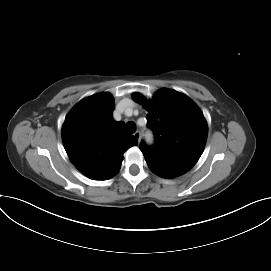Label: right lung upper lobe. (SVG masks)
<instances>
[{
    "label": "right lung upper lobe",
    "mask_w": 271,
    "mask_h": 271,
    "mask_svg": "<svg viewBox=\"0 0 271 271\" xmlns=\"http://www.w3.org/2000/svg\"><path fill=\"white\" fill-rule=\"evenodd\" d=\"M112 110L109 93L87 97L73 107L62 128L71 162L90 179L112 178L121 167L124 152L138 143L125 133L123 122L113 120Z\"/></svg>",
    "instance_id": "1"
}]
</instances>
